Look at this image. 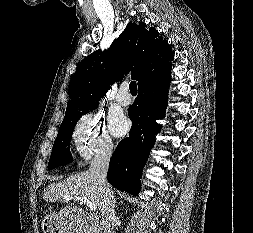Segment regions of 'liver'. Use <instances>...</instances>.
Instances as JSON below:
<instances>
[{
  "label": "liver",
  "mask_w": 253,
  "mask_h": 233,
  "mask_svg": "<svg viewBox=\"0 0 253 233\" xmlns=\"http://www.w3.org/2000/svg\"><path fill=\"white\" fill-rule=\"evenodd\" d=\"M64 196H82L100 208V192L94 176L89 172H80L58 183L49 184L43 192L46 202H57ZM70 207H66L68 210Z\"/></svg>",
  "instance_id": "1"
}]
</instances>
